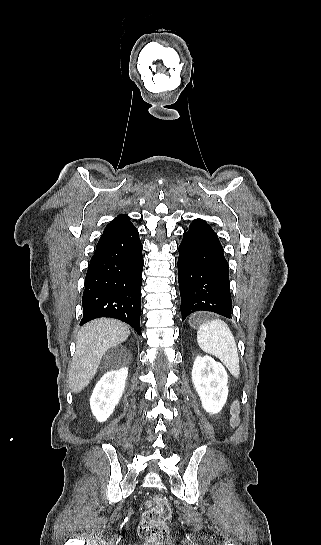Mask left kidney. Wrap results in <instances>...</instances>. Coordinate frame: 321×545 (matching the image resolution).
Listing matches in <instances>:
<instances>
[{"label":"left kidney","mask_w":321,"mask_h":545,"mask_svg":"<svg viewBox=\"0 0 321 545\" xmlns=\"http://www.w3.org/2000/svg\"><path fill=\"white\" fill-rule=\"evenodd\" d=\"M203 409L211 415L220 413L228 397V375L212 357H196L191 373Z\"/></svg>","instance_id":"5707ae66"}]
</instances>
